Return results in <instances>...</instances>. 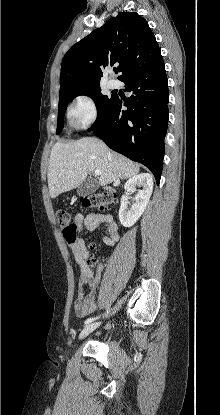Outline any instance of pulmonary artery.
<instances>
[{
    "label": "pulmonary artery",
    "instance_id": "obj_1",
    "mask_svg": "<svg viewBox=\"0 0 220 415\" xmlns=\"http://www.w3.org/2000/svg\"><path fill=\"white\" fill-rule=\"evenodd\" d=\"M108 84H109V87L112 88V89H115V88L118 87V82L114 79L109 80Z\"/></svg>",
    "mask_w": 220,
    "mask_h": 415
}]
</instances>
